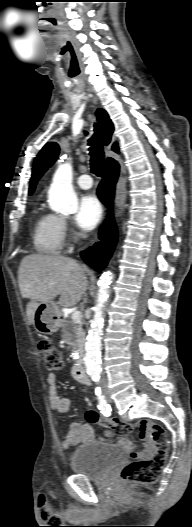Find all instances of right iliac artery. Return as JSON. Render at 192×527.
Returning a JSON list of instances; mask_svg holds the SVG:
<instances>
[{
	"label": "right iliac artery",
	"mask_w": 192,
	"mask_h": 527,
	"mask_svg": "<svg viewBox=\"0 0 192 527\" xmlns=\"http://www.w3.org/2000/svg\"><path fill=\"white\" fill-rule=\"evenodd\" d=\"M95 394L98 399V407L101 410V413H103L105 416H109L111 409H110L109 404H107L105 400V396L101 394V389L96 388Z\"/></svg>",
	"instance_id": "82829eb1"
}]
</instances>
